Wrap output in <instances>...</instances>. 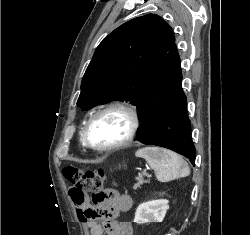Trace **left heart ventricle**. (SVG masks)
I'll return each instance as SVG.
<instances>
[{"instance_id": "b2bd125f", "label": "left heart ventricle", "mask_w": 250, "mask_h": 235, "mask_svg": "<svg viewBox=\"0 0 250 235\" xmlns=\"http://www.w3.org/2000/svg\"><path fill=\"white\" fill-rule=\"evenodd\" d=\"M128 129L127 117L121 112L98 116L89 128V138L96 146H107L121 140Z\"/></svg>"}]
</instances>
